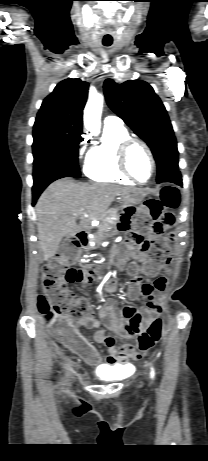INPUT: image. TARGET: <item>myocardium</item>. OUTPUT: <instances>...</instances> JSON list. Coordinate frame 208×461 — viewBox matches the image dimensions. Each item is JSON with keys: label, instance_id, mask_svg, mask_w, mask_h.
<instances>
[{"label": "myocardium", "instance_id": "myocardium-1", "mask_svg": "<svg viewBox=\"0 0 208 461\" xmlns=\"http://www.w3.org/2000/svg\"><path fill=\"white\" fill-rule=\"evenodd\" d=\"M136 145L141 146L146 151L151 162V174L146 181H140L139 179H137L129 168V153L131 149ZM117 163L119 169L124 175H126L128 178L139 184H146L150 182L156 173V161L151 148L145 141L138 138L129 137L121 142L117 150Z\"/></svg>", "mask_w": 208, "mask_h": 461}]
</instances>
